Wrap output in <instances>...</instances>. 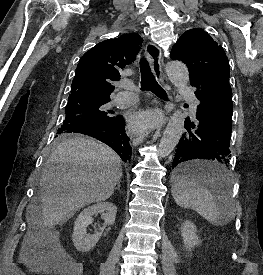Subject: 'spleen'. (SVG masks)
I'll return each instance as SVG.
<instances>
[{
	"instance_id": "spleen-1",
	"label": "spleen",
	"mask_w": 263,
	"mask_h": 275,
	"mask_svg": "<svg viewBox=\"0 0 263 275\" xmlns=\"http://www.w3.org/2000/svg\"><path fill=\"white\" fill-rule=\"evenodd\" d=\"M198 167L216 170L222 173L224 180L219 183L220 190L214 195L203 185L194 180H177L172 186V196L182 208H191L212 225L223 226L234 217L228 170L215 162H198Z\"/></svg>"
}]
</instances>
